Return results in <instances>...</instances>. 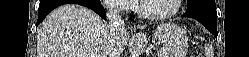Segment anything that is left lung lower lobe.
<instances>
[{
  "mask_svg": "<svg viewBox=\"0 0 249 57\" xmlns=\"http://www.w3.org/2000/svg\"><path fill=\"white\" fill-rule=\"evenodd\" d=\"M182 17L194 18L202 23L217 38V12L215 1H203L197 5L187 8Z\"/></svg>",
  "mask_w": 249,
  "mask_h": 57,
  "instance_id": "0a47b994",
  "label": "left lung lower lobe"
}]
</instances>
